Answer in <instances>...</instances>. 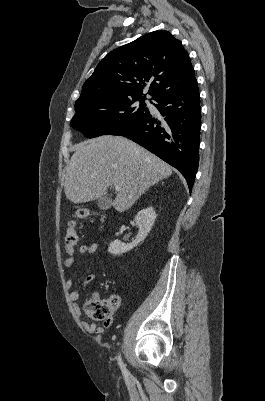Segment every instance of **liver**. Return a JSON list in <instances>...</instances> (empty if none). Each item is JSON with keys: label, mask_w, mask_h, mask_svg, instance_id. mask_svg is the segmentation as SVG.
<instances>
[{"label": "liver", "mask_w": 265, "mask_h": 401, "mask_svg": "<svg viewBox=\"0 0 265 401\" xmlns=\"http://www.w3.org/2000/svg\"><path fill=\"white\" fill-rule=\"evenodd\" d=\"M172 174V166L123 136H98L75 146L64 192L71 203H89L104 196L108 186H121L112 205L128 211L152 184Z\"/></svg>", "instance_id": "1"}]
</instances>
